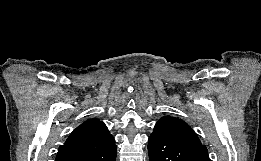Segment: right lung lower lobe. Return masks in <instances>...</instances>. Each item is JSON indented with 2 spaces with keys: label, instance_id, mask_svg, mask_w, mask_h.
I'll list each match as a JSON object with an SVG mask.
<instances>
[{
  "label": "right lung lower lobe",
  "instance_id": "1",
  "mask_svg": "<svg viewBox=\"0 0 261 161\" xmlns=\"http://www.w3.org/2000/svg\"><path fill=\"white\" fill-rule=\"evenodd\" d=\"M57 161H116V145L113 142L102 150L72 155Z\"/></svg>",
  "mask_w": 261,
  "mask_h": 161
}]
</instances>
